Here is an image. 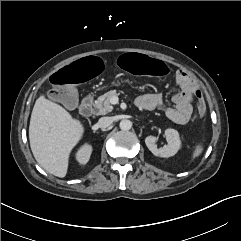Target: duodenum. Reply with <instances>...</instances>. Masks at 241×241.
<instances>
[{"label":"duodenum","mask_w":241,"mask_h":241,"mask_svg":"<svg viewBox=\"0 0 241 241\" xmlns=\"http://www.w3.org/2000/svg\"><path fill=\"white\" fill-rule=\"evenodd\" d=\"M79 112L82 116L84 117H89L93 113V98L91 95H87L84 97L82 100L80 107H79Z\"/></svg>","instance_id":"duodenum-1"}]
</instances>
